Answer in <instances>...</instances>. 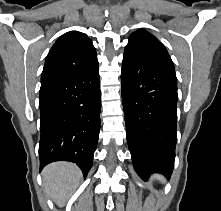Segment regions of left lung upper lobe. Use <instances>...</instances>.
Instances as JSON below:
<instances>
[{
	"instance_id": "left-lung-upper-lobe-1",
	"label": "left lung upper lobe",
	"mask_w": 221,
	"mask_h": 211,
	"mask_svg": "<svg viewBox=\"0 0 221 211\" xmlns=\"http://www.w3.org/2000/svg\"><path fill=\"white\" fill-rule=\"evenodd\" d=\"M124 56H132L175 71L165 46L151 33L140 29L131 34Z\"/></svg>"
}]
</instances>
